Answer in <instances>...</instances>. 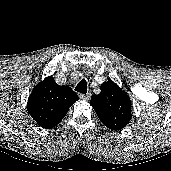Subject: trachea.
I'll list each match as a JSON object with an SVG mask.
<instances>
[{
	"label": "trachea",
	"instance_id": "3493384b",
	"mask_svg": "<svg viewBox=\"0 0 171 171\" xmlns=\"http://www.w3.org/2000/svg\"><path fill=\"white\" fill-rule=\"evenodd\" d=\"M87 82L85 79H82L78 84L77 86L75 87V90L77 92H80L82 94H86L87 93Z\"/></svg>",
	"mask_w": 171,
	"mask_h": 171
}]
</instances>
